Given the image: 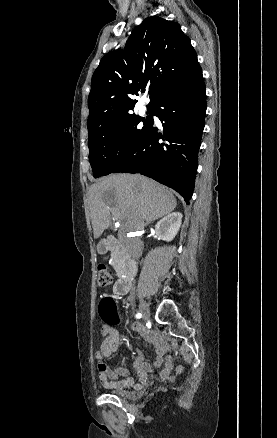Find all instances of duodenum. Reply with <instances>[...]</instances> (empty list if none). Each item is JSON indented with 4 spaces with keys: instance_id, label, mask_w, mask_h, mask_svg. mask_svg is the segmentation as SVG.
Masks as SVG:
<instances>
[{
    "instance_id": "obj_1",
    "label": "duodenum",
    "mask_w": 277,
    "mask_h": 438,
    "mask_svg": "<svg viewBox=\"0 0 277 438\" xmlns=\"http://www.w3.org/2000/svg\"><path fill=\"white\" fill-rule=\"evenodd\" d=\"M99 251L105 253L108 251L120 249V244L114 238H107L99 243ZM136 273V261L128 257L122 276L115 285V292L118 295H125L130 291L134 276Z\"/></svg>"
}]
</instances>
